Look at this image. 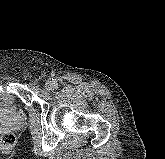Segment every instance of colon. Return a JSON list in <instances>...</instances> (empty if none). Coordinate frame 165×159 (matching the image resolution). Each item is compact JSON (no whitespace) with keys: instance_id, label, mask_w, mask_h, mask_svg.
Wrapping results in <instances>:
<instances>
[{"instance_id":"5ec220e1","label":"colon","mask_w":165,"mask_h":159,"mask_svg":"<svg viewBox=\"0 0 165 159\" xmlns=\"http://www.w3.org/2000/svg\"><path fill=\"white\" fill-rule=\"evenodd\" d=\"M16 139L12 133H4L0 135V151L8 152L15 145Z\"/></svg>"}]
</instances>
